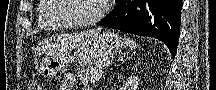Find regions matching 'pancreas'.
<instances>
[{
  "mask_svg": "<svg viewBox=\"0 0 216 90\" xmlns=\"http://www.w3.org/2000/svg\"><path fill=\"white\" fill-rule=\"evenodd\" d=\"M76 74L81 82H93V78H95L97 74V67L86 68V70H80V72H76Z\"/></svg>",
  "mask_w": 216,
  "mask_h": 90,
  "instance_id": "pancreas-1",
  "label": "pancreas"
}]
</instances>
